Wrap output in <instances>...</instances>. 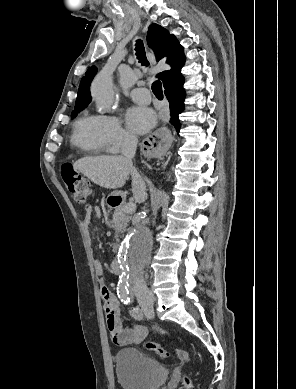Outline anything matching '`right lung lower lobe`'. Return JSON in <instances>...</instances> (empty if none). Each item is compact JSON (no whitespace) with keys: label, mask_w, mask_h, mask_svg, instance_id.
<instances>
[{"label":"right lung lower lobe","mask_w":296,"mask_h":389,"mask_svg":"<svg viewBox=\"0 0 296 389\" xmlns=\"http://www.w3.org/2000/svg\"><path fill=\"white\" fill-rule=\"evenodd\" d=\"M184 78L183 76H176L171 78L164 84L165 95L170 104V113H171V124L176 128L177 133L179 134L180 122L178 115L184 109V99L185 92L183 88Z\"/></svg>","instance_id":"1"}]
</instances>
